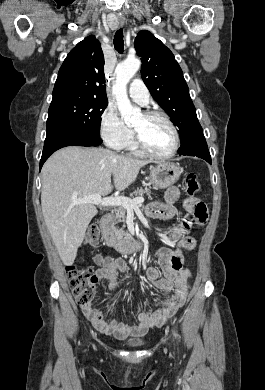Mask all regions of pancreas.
<instances>
[{
	"instance_id": "pancreas-1",
	"label": "pancreas",
	"mask_w": 265,
	"mask_h": 390,
	"mask_svg": "<svg viewBox=\"0 0 265 390\" xmlns=\"http://www.w3.org/2000/svg\"><path fill=\"white\" fill-rule=\"evenodd\" d=\"M137 192L140 195L146 194L148 196H150V193H151V191L148 188H144V189L141 188ZM111 216H112L111 229L115 233V236L118 238L124 237V239H130L131 235L127 231L123 230V228L117 229L115 227L116 224L121 223V222H125L126 209L124 207H121V206L118 208H115L113 210Z\"/></svg>"
}]
</instances>
